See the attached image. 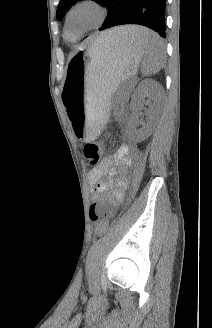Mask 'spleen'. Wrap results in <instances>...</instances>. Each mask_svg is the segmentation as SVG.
Here are the masks:
<instances>
[{"label": "spleen", "instance_id": "spleen-1", "mask_svg": "<svg viewBox=\"0 0 212 328\" xmlns=\"http://www.w3.org/2000/svg\"><path fill=\"white\" fill-rule=\"evenodd\" d=\"M131 43L144 51L145 58L142 62L144 75L157 73L165 62L164 45L161 38L154 32L139 26H133Z\"/></svg>", "mask_w": 212, "mask_h": 328}]
</instances>
